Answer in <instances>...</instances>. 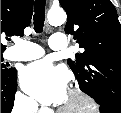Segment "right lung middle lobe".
Wrapping results in <instances>:
<instances>
[{
	"mask_svg": "<svg viewBox=\"0 0 121 113\" xmlns=\"http://www.w3.org/2000/svg\"><path fill=\"white\" fill-rule=\"evenodd\" d=\"M3 61V58H2V52H1V62ZM9 70L7 68H5V65L4 64H1V75H4L8 72Z\"/></svg>",
	"mask_w": 121,
	"mask_h": 113,
	"instance_id": "dd1d6c3e",
	"label": "right lung middle lobe"
}]
</instances>
